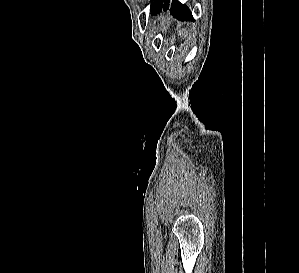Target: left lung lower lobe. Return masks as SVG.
I'll use <instances>...</instances> for the list:
<instances>
[{
	"mask_svg": "<svg viewBox=\"0 0 299 273\" xmlns=\"http://www.w3.org/2000/svg\"><path fill=\"white\" fill-rule=\"evenodd\" d=\"M169 2L170 0H154V2L151 4V14L153 15L160 13L162 8L167 10L169 8ZM171 13L173 17L180 21H187L189 19L195 21L188 7L180 3L178 0H172Z\"/></svg>",
	"mask_w": 299,
	"mask_h": 273,
	"instance_id": "left-lung-lower-lobe-1",
	"label": "left lung lower lobe"
}]
</instances>
